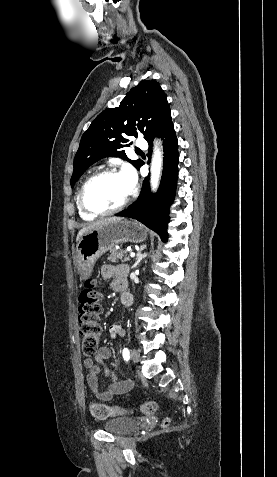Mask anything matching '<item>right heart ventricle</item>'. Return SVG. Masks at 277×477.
Wrapping results in <instances>:
<instances>
[{"label":"right heart ventricle","mask_w":277,"mask_h":477,"mask_svg":"<svg viewBox=\"0 0 277 477\" xmlns=\"http://www.w3.org/2000/svg\"><path fill=\"white\" fill-rule=\"evenodd\" d=\"M77 205H78V196H77ZM78 209H79V214L82 217V219L87 220V221H91V220L96 218V216H94V215H90V214H87V213L83 212L80 209L79 205H78Z\"/></svg>","instance_id":"obj_1"}]
</instances>
